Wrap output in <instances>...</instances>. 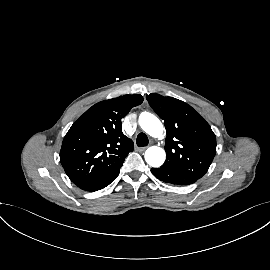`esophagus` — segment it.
<instances>
[{"label": "esophagus", "instance_id": "34e87169", "mask_svg": "<svg viewBox=\"0 0 270 270\" xmlns=\"http://www.w3.org/2000/svg\"><path fill=\"white\" fill-rule=\"evenodd\" d=\"M146 149H147V147H141V148H138V151L144 152Z\"/></svg>", "mask_w": 270, "mask_h": 270}]
</instances>
